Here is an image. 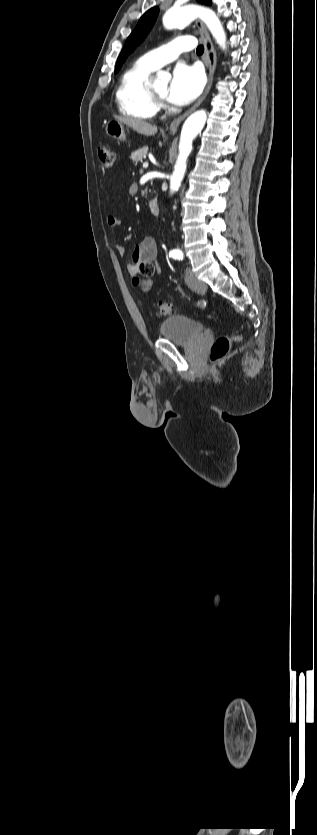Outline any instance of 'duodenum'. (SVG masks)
<instances>
[{"label":"duodenum","mask_w":317,"mask_h":835,"mask_svg":"<svg viewBox=\"0 0 317 835\" xmlns=\"http://www.w3.org/2000/svg\"><path fill=\"white\" fill-rule=\"evenodd\" d=\"M148 207L152 214L157 215L159 213V205L157 199H151L149 201Z\"/></svg>","instance_id":"duodenum-1"}]
</instances>
